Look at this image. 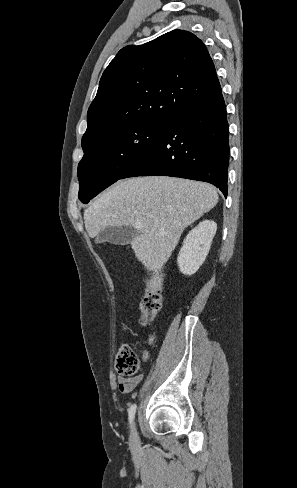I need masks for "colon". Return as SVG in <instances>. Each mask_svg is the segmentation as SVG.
Wrapping results in <instances>:
<instances>
[{"label":"colon","mask_w":297,"mask_h":488,"mask_svg":"<svg viewBox=\"0 0 297 488\" xmlns=\"http://www.w3.org/2000/svg\"><path fill=\"white\" fill-rule=\"evenodd\" d=\"M161 307V294L158 287L150 285L147 287L145 294L140 302L141 319L140 324L145 326L151 323L157 316ZM153 337L148 338V344H151ZM146 357H140L131 345L123 343L119 346L115 358V367L120 375L131 377L134 376L141 367L142 360Z\"/></svg>","instance_id":"obj_1"}]
</instances>
